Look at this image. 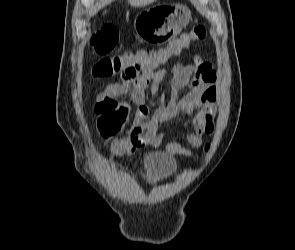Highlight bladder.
<instances>
[{"label":"bladder","instance_id":"31cf9c89","mask_svg":"<svg viewBox=\"0 0 295 250\" xmlns=\"http://www.w3.org/2000/svg\"><path fill=\"white\" fill-rule=\"evenodd\" d=\"M147 178L151 183H159L175 174L177 162L162 152H150L144 157Z\"/></svg>","mask_w":295,"mask_h":250}]
</instances>
